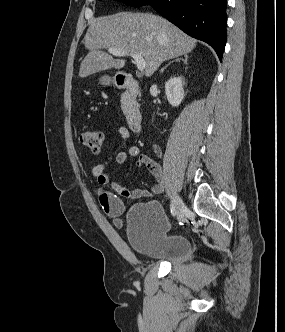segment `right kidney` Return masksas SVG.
Instances as JSON below:
<instances>
[{"mask_svg": "<svg viewBox=\"0 0 285 332\" xmlns=\"http://www.w3.org/2000/svg\"><path fill=\"white\" fill-rule=\"evenodd\" d=\"M165 94L167 96L168 102L172 106H174V107L179 106L185 96L182 77H179V76L171 77L165 83Z\"/></svg>", "mask_w": 285, "mask_h": 332, "instance_id": "obj_1", "label": "right kidney"}]
</instances>
